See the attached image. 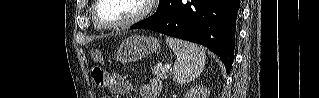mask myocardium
<instances>
[{
	"instance_id": "obj_1",
	"label": "myocardium",
	"mask_w": 319,
	"mask_h": 98,
	"mask_svg": "<svg viewBox=\"0 0 319 98\" xmlns=\"http://www.w3.org/2000/svg\"><path fill=\"white\" fill-rule=\"evenodd\" d=\"M101 1L102 0H95L94 6L92 9V18L96 26L106 30L126 28L144 20L151 13L153 8V3L155 2L154 0H140L139 2L141 5V8L135 15L120 22L107 24L100 19L98 14L99 5Z\"/></svg>"
}]
</instances>
